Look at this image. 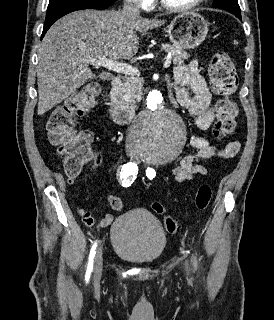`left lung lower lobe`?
<instances>
[{"instance_id":"left-lung-lower-lobe-1","label":"left lung lower lobe","mask_w":274,"mask_h":320,"mask_svg":"<svg viewBox=\"0 0 274 320\" xmlns=\"http://www.w3.org/2000/svg\"><path fill=\"white\" fill-rule=\"evenodd\" d=\"M232 14H234L235 16H237L241 20V13L233 12Z\"/></svg>"}]
</instances>
